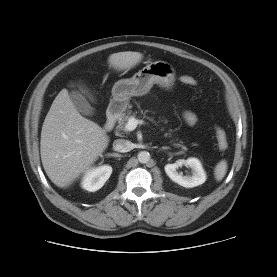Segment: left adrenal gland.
I'll use <instances>...</instances> for the list:
<instances>
[{
    "label": "left adrenal gland",
    "mask_w": 277,
    "mask_h": 277,
    "mask_svg": "<svg viewBox=\"0 0 277 277\" xmlns=\"http://www.w3.org/2000/svg\"><path fill=\"white\" fill-rule=\"evenodd\" d=\"M161 149H162V150H168V149H170V147L163 146Z\"/></svg>",
    "instance_id": "a2214340"
}]
</instances>
